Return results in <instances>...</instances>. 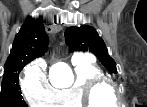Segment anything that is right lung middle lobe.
Segmentation results:
<instances>
[{"mask_svg": "<svg viewBox=\"0 0 147 107\" xmlns=\"http://www.w3.org/2000/svg\"><path fill=\"white\" fill-rule=\"evenodd\" d=\"M33 59L20 65V71ZM19 73H11L3 77L2 89L0 92V107H27L22 100L21 89L19 86Z\"/></svg>", "mask_w": 147, "mask_h": 107, "instance_id": "1", "label": "right lung middle lobe"}]
</instances>
